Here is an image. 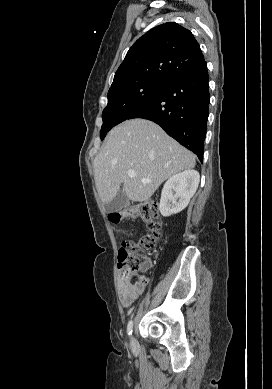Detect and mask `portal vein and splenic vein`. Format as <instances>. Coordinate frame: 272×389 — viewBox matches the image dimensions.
Masks as SVG:
<instances>
[{
	"label": "portal vein and splenic vein",
	"mask_w": 272,
	"mask_h": 389,
	"mask_svg": "<svg viewBox=\"0 0 272 389\" xmlns=\"http://www.w3.org/2000/svg\"><path fill=\"white\" fill-rule=\"evenodd\" d=\"M127 174H128V176L130 177V178H134L135 176H136V174H135V172L133 171V170H129L128 172H127ZM143 183H149L151 180H149V179H142L141 180Z\"/></svg>",
	"instance_id": "1"
}]
</instances>
